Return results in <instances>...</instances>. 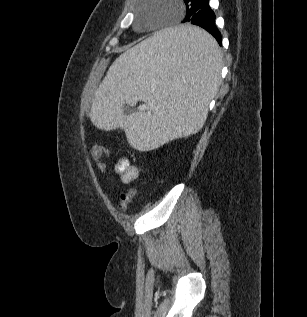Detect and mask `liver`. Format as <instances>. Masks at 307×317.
I'll list each match as a JSON object with an SVG mask.
<instances>
[{
	"mask_svg": "<svg viewBox=\"0 0 307 317\" xmlns=\"http://www.w3.org/2000/svg\"><path fill=\"white\" fill-rule=\"evenodd\" d=\"M98 81L95 79L92 83H91V88L92 89H97L98 88V83H97Z\"/></svg>",
	"mask_w": 307,
	"mask_h": 317,
	"instance_id": "1",
	"label": "liver"
}]
</instances>
